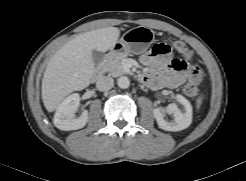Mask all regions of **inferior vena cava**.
I'll use <instances>...</instances> for the list:
<instances>
[{
    "mask_svg": "<svg viewBox=\"0 0 246 181\" xmlns=\"http://www.w3.org/2000/svg\"><path fill=\"white\" fill-rule=\"evenodd\" d=\"M114 80L109 76H102L96 82V87L99 91H107L113 88Z\"/></svg>",
    "mask_w": 246,
    "mask_h": 181,
    "instance_id": "602c4592",
    "label": "inferior vena cava"
}]
</instances>
